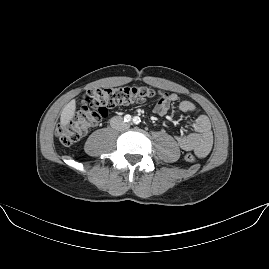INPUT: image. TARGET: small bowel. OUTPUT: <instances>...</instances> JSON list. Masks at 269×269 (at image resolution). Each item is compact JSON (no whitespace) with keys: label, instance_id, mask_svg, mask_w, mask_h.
Listing matches in <instances>:
<instances>
[{"label":"small bowel","instance_id":"small-bowel-1","mask_svg":"<svg viewBox=\"0 0 269 269\" xmlns=\"http://www.w3.org/2000/svg\"><path fill=\"white\" fill-rule=\"evenodd\" d=\"M176 93L161 92L155 111L159 115H165L170 106L178 101ZM196 105L189 100L181 101L178 104V111L187 113L196 111ZM194 133L189 135L178 134L176 141L179 147L185 151H193L197 157H205L212 149L214 135L209 118L206 115H199L190 122Z\"/></svg>","mask_w":269,"mask_h":269}]
</instances>
